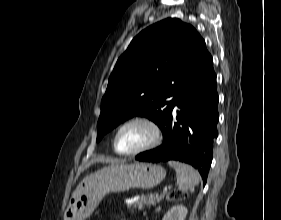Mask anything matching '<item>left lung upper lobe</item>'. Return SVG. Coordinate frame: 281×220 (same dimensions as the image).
Wrapping results in <instances>:
<instances>
[{"mask_svg":"<svg viewBox=\"0 0 281 220\" xmlns=\"http://www.w3.org/2000/svg\"><path fill=\"white\" fill-rule=\"evenodd\" d=\"M207 52L196 29L167 18L141 31L119 57L101 101L97 141L134 115L163 128L180 82Z\"/></svg>","mask_w":281,"mask_h":220,"instance_id":"5c2ea615","label":"left lung upper lobe"}]
</instances>
